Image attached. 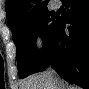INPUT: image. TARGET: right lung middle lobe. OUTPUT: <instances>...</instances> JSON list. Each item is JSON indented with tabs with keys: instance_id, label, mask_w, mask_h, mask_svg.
Instances as JSON below:
<instances>
[{
	"instance_id": "dd1d6c3e",
	"label": "right lung middle lobe",
	"mask_w": 89,
	"mask_h": 89,
	"mask_svg": "<svg viewBox=\"0 0 89 89\" xmlns=\"http://www.w3.org/2000/svg\"><path fill=\"white\" fill-rule=\"evenodd\" d=\"M58 24L59 20H55L54 12L46 9L27 16L10 27L16 44V59L20 78L36 73L38 64ZM37 34L42 35L45 41L42 52L37 51L35 47Z\"/></svg>"
}]
</instances>
